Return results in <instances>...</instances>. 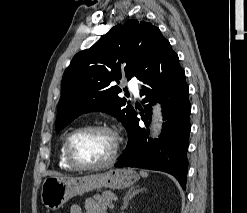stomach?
Segmentation results:
<instances>
[{
    "mask_svg": "<svg viewBox=\"0 0 247 213\" xmlns=\"http://www.w3.org/2000/svg\"><path fill=\"white\" fill-rule=\"evenodd\" d=\"M139 176L130 169H110L105 173L63 178L48 176L41 188V201L49 210H57L72 197L102 187L122 189L132 186Z\"/></svg>",
    "mask_w": 247,
    "mask_h": 213,
    "instance_id": "0dacf381",
    "label": "stomach"
}]
</instances>
